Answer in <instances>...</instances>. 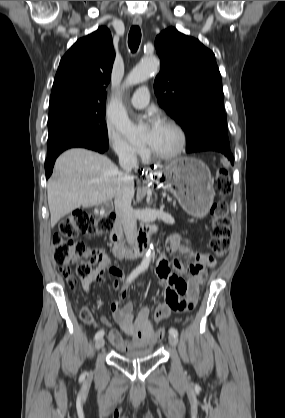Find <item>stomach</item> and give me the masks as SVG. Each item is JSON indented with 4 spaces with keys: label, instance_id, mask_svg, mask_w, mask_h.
Wrapping results in <instances>:
<instances>
[{
    "label": "stomach",
    "instance_id": "0dacf381",
    "mask_svg": "<svg viewBox=\"0 0 285 418\" xmlns=\"http://www.w3.org/2000/svg\"><path fill=\"white\" fill-rule=\"evenodd\" d=\"M156 174V183L171 192L188 214L202 218L213 204L211 172L208 166L193 157H180Z\"/></svg>",
    "mask_w": 285,
    "mask_h": 418
}]
</instances>
